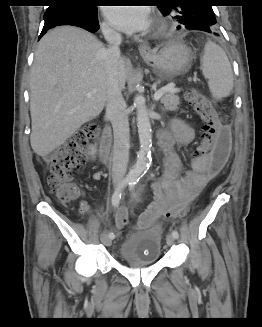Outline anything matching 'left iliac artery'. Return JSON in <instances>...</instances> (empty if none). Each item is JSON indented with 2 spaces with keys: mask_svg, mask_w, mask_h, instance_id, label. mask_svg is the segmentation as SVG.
Here are the masks:
<instances>
[{
  "mask_svg": "<svg viewBox=\"0 0 262 327\" xmlns=\"http://www.w3.org/2000/svg\"><path fill=\"white\" fill-rule=\"evenodd\" d=\"M139 182V179H133V181L129 184V188L130 190L133 192L135 186L137 185V183ZM135 196V195H134ZM172 235L175 239L179 238V233L177 230H173L172 231Z\"/></svg>",
  "mask_w": 262,
  "mask_h": 327,
  "instance_id": "left-iliac-artery-1",
  "label": "left iliac artery"
}]
</instances>
